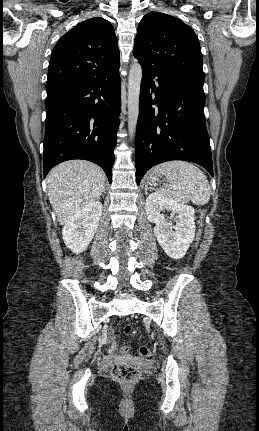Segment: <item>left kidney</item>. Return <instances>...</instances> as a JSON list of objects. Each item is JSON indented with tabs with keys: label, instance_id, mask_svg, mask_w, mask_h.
Instances as JSON below:
<instances>
[{
	"label": "left kidney",
	"instance_id": "5707ae66",
	"mask_svg": "<svg viewBox=\"0 0 259 431\" xmlns=\"http://www.w3.org/2000/svg\"><path fill=\"white\" fill-rule=\"evenodd\" d=\"M145 210L148 220L156 224L154 234L165 253L173 259H181L195 237L194 208L154 192L146 198ZM164 210L176 214L175 226L165 219Z\"/></svg>",
	"mask_w": 259,
	"mask_h": 431
}]
</instances>
